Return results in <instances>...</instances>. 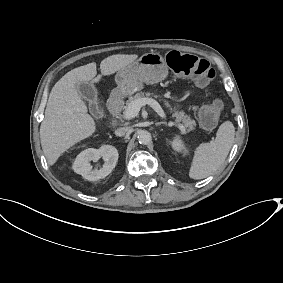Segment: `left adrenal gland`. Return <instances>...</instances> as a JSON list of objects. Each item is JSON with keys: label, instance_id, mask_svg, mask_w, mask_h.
<instances>
[{"label": "left adrenal gland", "instance_id": "1", "mask_svg": "<svg viewBox=\"0 0 283 283\" xmlns=\"http://www.w3.org/2000/svg\"><path fill=\"white\" fill-rule=\"evenodd\" d=\"M161 125L168 127V124H166L165 122H160L155 124L156 127H160Z\"/></svg>", "mask_w": 283, "mask_h": 283}]
</instances>
